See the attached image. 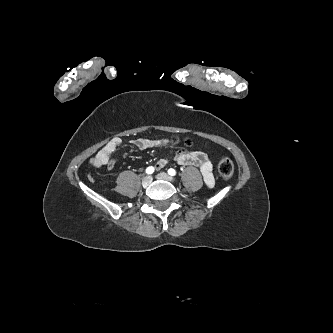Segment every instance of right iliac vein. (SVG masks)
I'll return each mask as SVG.
<instances>
[{
  "instance_id": "63e3f726",
  "label": "right iliac vein",
  "mask_w": 333,
  "mask_h": 333,
  "mask_svg": "<svg viewBox=\"0 0 333 333\" xmlns=\"http://www.w3.org/2000/svg\"><path fill=\"white\" fill-rule=\"evenodd\" d=\"M152 177L151 176H146V177H144L143 178V180H142V185L144 186V187H146V186H149L151 183H152Z\"/></svg>"
}]
</instances>
